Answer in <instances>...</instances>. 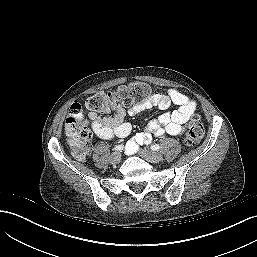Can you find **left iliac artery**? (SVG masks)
Returning <instances> with one entry per match:
<instances>
[{"label":"left iliac artery","mask_w":257,"mask_h":257,"mask_svg":"<svg viewBox=\"0 0 257 257\" xmlns=\"http://www.w3.org/2000/svg\"><path fill=\"white\" fill-rule=\"evenodd\" d=\"M153 151H157L160 149V146L158 144L151 145L150 147Z\"/></svg>","instance_id":"obj_1"}]
</instances>
